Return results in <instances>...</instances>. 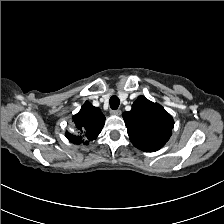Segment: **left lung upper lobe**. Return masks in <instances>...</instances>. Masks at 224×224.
I'll return each instance as SVG.
<instances>
[{
  "mask_svg": "<svg viewBox=\"0 0 224 224\" xmlns=\"http://www.w3.org/2000/svg\"><path fill=\"white\" fill-rule=\"evenodd\" d=\"M123 118L130 141L145 152L162 148L169 140L174 126L172 116L165 109L144 96H139L131 111L124 112Z\"/></svg>",
  "mask_w": 224,
  "mask_h": 224,
  "instance_id": "obj_1",
  "label": "left lung upper lobe"
}]
</instances>
